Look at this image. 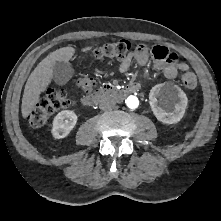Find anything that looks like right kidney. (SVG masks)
Listing matches in <instances>:
<instances>
[{
  "instance_id": "1",
  "label": "right kidney",
  "mask_w": 221,
  "mask_h": 221,
  "mask_svg": "<svg viewBox=\"0 0 221 221\" xmlns=\"http://www.w3.org/2000/svg\"><path fill=\"white\" fill-rule=\"evenodd\" d=\"M77 123V115L71 110L59 112L52 125V135L56 139L66 137Z\"/></svg>"
}]
</instances>
